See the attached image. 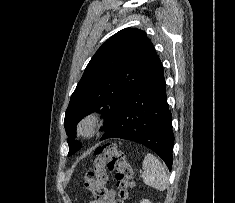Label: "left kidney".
I'll use <instances>...</instances> for the list:
<instances>
[{
    "mask_svg": "<svg viewBox=\"0 0 235 203\" xmlns=\"http://www.w3.org/2000/svg\"><path fill=\"white\" fill-rule=\"evenodd\" d=\"M140 203H151L149 200H142Z\"/></svg>",
    "mask_w": 235,
    "mask_h": 203,
    "instance_id": "1",
    "label": "left kidney"
}]
</instances>
